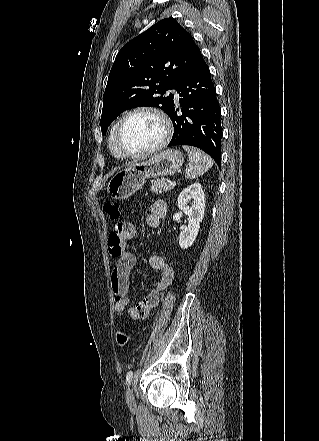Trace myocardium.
Wrapping results in <instances>:
<instances>
[{"instance_id": "obj_1", "label": "myocardium", "mask_w": 319, "mask_h": 441, "mask_svg": "<svg viewBox=\"0 0 319 441\" xmlns=\"http://www.w3.org/2000/svg\"><path fill=\"white\" fill-rule=\"evenodd\" d=\"M139 113H148L156 117L163 129L162 138L160 141L153 147L146 149L141 152H129L125 150L120 142V131L124 124V122L131 117L132 115L139 114ZM173 127L171 120L166 115L165 112H163L161 109L154 107V106H138L135 108H132L131 110L127 111L116 123L115 131H114V142L117 150L120 152L121 155L127 158H143L150 155H153L155 153H158L161 151L170 141L172 137Z\"/></svg>"}]
</instances>
